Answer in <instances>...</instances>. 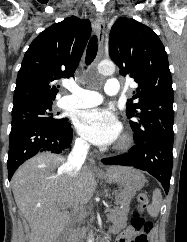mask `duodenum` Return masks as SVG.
I'll use <instances>...</instances> for the list:
<instances>
[{"label":"duodenum","mask_w":187,"mask_h":242,"mask_svg":"<svg viewBox=\"0 0 187 242\" xmlns=\"http://www.w3.org/2000/svg\"><path fill=\"white\" fill-rule=\"evenodd\" d=\"M100 242H108V240L107 239H103Z\"/></svg>","instance_id":"1"}]
</instances>
